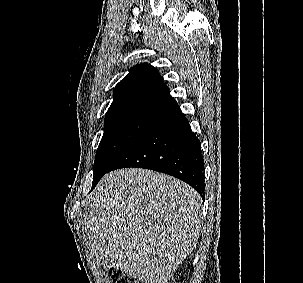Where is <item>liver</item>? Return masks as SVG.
Returning a JSON list of instances; mask_svg holds the SVG:
<instances>
[{
    "label": "liver",
    "mask_w": 303,
    "mask_h": 283,
    "mask_svg": "<svg viewBox=\"0 0 303 283\" xmlns=\"http://www.w3.org/2000/svg\"><path fill=\"white\" fill-rule=\"evenodd\" d=\"M202 222V199L192 187L139 168L106 174L84 213L97 264L142 283H167L196 246Z\"/></svg>",
    "instance_id": "6515ba94"
}]
</instances>
